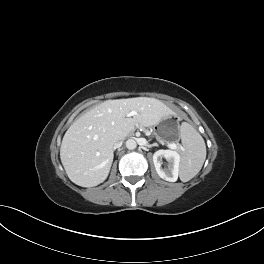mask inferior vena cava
Returning <instances> with one entry per match:
<instances>
[{
    "label": "inferior vena cava",
    "mask_w": 264,
    "mask_h": 264,
    "mask_svg": "<svg viewBox=\"0 0 264 264\" xmlns=\"http://www.w3.org/2000/svg\"><path fill=\"white\" fill-rule=\"evenodd\" d=\"M121 145H122V141H121V139H119V140H117V141L114 143L113 148H114V149H117V148H119Z\"/></svg>",
    "instance_id": "602c4592"
}]
</instances>
